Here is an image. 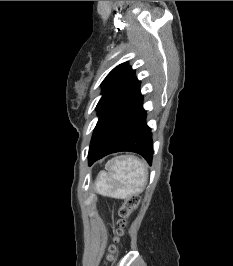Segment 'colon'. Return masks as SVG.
I'll use <instances>...</instances> for the list:
<instances>
[{
	"mask_svg": "<svg viewBox=\"0 0 233 266\" xmlns=\"http://www.w3.org/2000/svg\"><path fill=\"white\" fill-rule=\"evenodd\" d=\"M139 198L137 196H131L128 197L123 205L119 209V221H118V229L116 232V237L114 239V243L111 245L109 249V255L107 256V261H113L117 252H118V242L121 238V236L124 234V230L127 226L128 218L130 217L133 210L138 206L139 204Z\"/></svg>",
	"mask_w": 233,
	"mask_h": 266,
	"instance_id": "5ec220e1",
	"label": "colon"
}]
</instances>
